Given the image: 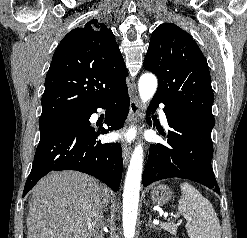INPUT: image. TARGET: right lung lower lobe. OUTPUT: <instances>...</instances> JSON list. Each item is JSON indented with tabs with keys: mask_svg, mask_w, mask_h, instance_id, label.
Returning <instances> with one entry per match:
<instances>
[{
	"mask_svg": "<svg viewBox=\"0 0 247 238\" xmlns=\"http://www.w3.org/2000/svg\"><path fill=\"white\" fill-rule=\"evenodd\" d=\"M129 104L127 85L124 84L95 106L78 112L76 119L41 135L23 197L48 172L61 170L92 175L116 192L122 176L121 147L118 143L102 144L97 140L99 134H106L108 130L102 125L91 126L89 118L97 108L107 109L104 122L109 130L120 129L127 118Z\"/></svg>",
	"mask_w": 247,
	"mask_h": 238,
	"instance_id": "obj_1",
	"label": "right lung lower lobe"
}]
</instances>
